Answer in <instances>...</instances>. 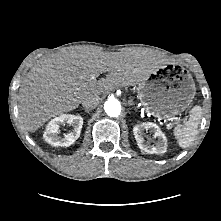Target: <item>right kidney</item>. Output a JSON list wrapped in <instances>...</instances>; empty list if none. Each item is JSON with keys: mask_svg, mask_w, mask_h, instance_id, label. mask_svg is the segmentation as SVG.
Wrapping results in <instances>:
<instances>
[{"mask_svg": "<svg viewBox=\"0 0 221 221\" xmlns=\"http://www.w3.org/2000/svg\"><path fill=\"white\" fill-rule=\"evenodd\" d=\"M65 123L71 125L73 129L61 138L58 136L59 128ZM82 125L83 118L80 115L63 114L55 117L47 124L43 137L46 142L53 146L68 147L79 138Z\"/></svg>", "mask_w": 221, "mask_h": 221, "instance_id": "obj_1", "label": "right kidney"}]
</instances>
